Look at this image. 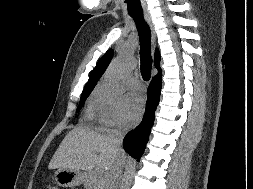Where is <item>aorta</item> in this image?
<instances>
[{
  "label": "aorta",
  "instance_id": "1",
  "mask_svg": "<svg viewBox=\"0 0 253 189\" xmlns=\"http://www.w3.org/2000/svg\"><path fill=\"white\" fill-rule=\"evenodd\" d=\"M132 66V61L127 55H122L112 64L103 82V89L109 98L118 99L122 95L124 77Z\"/></svg>",
  "mask_w": 253,
  "mask_h": 189
}]
</instances>
